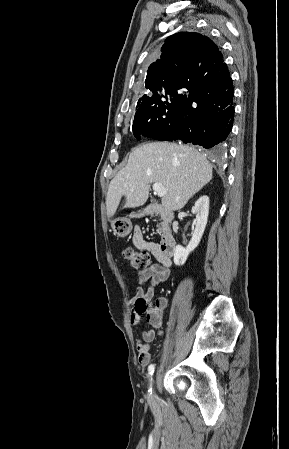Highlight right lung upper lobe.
Returning a JSON list of instances; mask_svg holds the SVG:
<instances>
[{"label":"right lung upper lobe","instance_id":"1","mask_svg":"<svg viewBox=\"0 0 289 449\" xmlns=\"http://www.w3.org/2000/svg\"><path fill=\"white\" fill-rule=\"evenodd\" d=\"M161 51L160 59L149 66L145 80L146 89L153 94L178 89L188 81H205L226 65L218 46L199 33L174 34L165 40Z\"/></svg>","mask_w":289,"mask_h":449}]
</instances>
